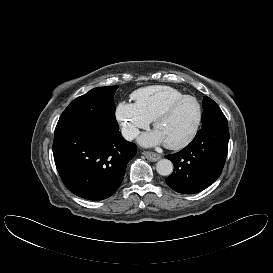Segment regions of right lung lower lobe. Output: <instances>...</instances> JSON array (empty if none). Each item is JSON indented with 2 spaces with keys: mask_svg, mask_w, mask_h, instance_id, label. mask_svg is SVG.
<instances>
[{
  "mask_svg": "<svg viewBox=\"0 0 273 273\" xmlns=\"http://www.w3.org/2000/svg\"><path fill=\"white\" fill-rule=\"evenodd\" d=\"M137 146L118 130L78 127L55 132L53 155L65 186L89 200L110 197L121 184Z\"/></svg>",
  "mask_w": 273,
  "mask_h": 273,
  "instance_id": "obj_1",
  "label": "right lung lower lobe"
}]
</instances>
